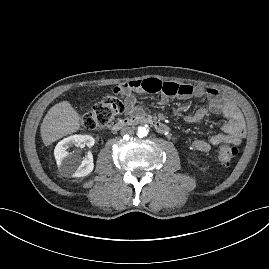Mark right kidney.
I'll return each mask as SVG.
<instances>
[{
    "instance_id": "ca27d5eb",
    "label": "right kidney",
    "mask_w": 269,
    "mask_h": 269,
    "mask_svg": "<svg viewBox=\"0 0 269 269\" xmlns=\"http://www.w3.org/2000/svg\"><path fill=\"white\" fill-rule=\"evenodd\" d=\"M94 143V138L89 135H72L60 141L54 149V156L60 172L71 177H84L90 174L94 169L91 152H88L86 157L81 159L78 154L68 150L74 145L92 147Z\"/></svg>"
}]
</instances>
